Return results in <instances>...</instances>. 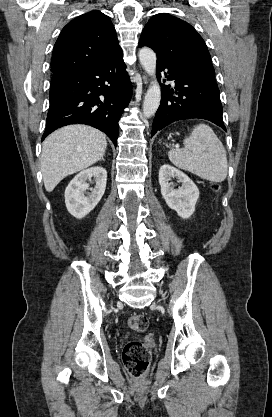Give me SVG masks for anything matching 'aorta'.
<instances>
[{"label":"aorta","instance_id":"762f6f07","mask_svg":"<svg viewBox=\"0 0 272 417\" xmlns=\"http://www.w3.org/2000/svg\"><path fill=\"white\" fill-rule=\"evenodd\" d=\"M139 60L143 69L153 78L149 86L143 103V115L146 118L153 116L161 100V89L156 80V54L148 48L143 47L139 50Z\"/></svg>","mask_w":272,"mask_h":417}]
</instances>
